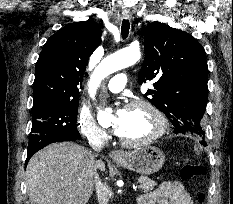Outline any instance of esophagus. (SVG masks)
<instances>
[{
    "mask_svg": "<svg viewBox=\"0 0 233 204\" xmlns=\"http://www.w3.org/2000/svg\"><path fill=\"white\" fill-rule=\"evenodd\" d=\"M122 16L125 19H131L132 18V14L125 10L122 12ZM110 158L117 161V160H121L125 157V152L123 150H113L110 154H109Z\"/></svg>",
    "mask_w": 233,
    "mask_h": 204,
    "instance_id": "obj_1",
    "label": "esophagus"
}]
</instances>
